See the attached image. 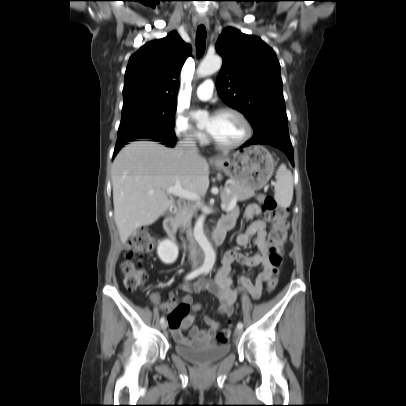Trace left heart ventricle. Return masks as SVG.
I'll return each mask as SVG.
<instances>
[{
	"instance_id": "obj_1",
	"label": "left heart ventricle",
	"mask_w": 406,
	"mask_h": 406,
	"mask_svg": "<svg viewBox=\"0 0 406 406\" xmlns=\"http://www.w3.org/2000/svg\"><path fill=\"white\" fill-rule=\"evenodd\" d=\"M205 128L220 142L230 144L244 135V126L232 113H222L207 119Z\"/></svg>"
}]
</instances>
